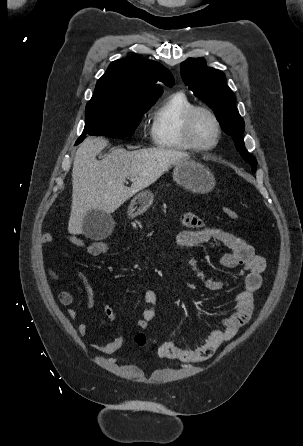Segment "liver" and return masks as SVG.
I'll return each instance as SVG.
<instances>
[{"label": "liver", "mask_w": 303, "mask_h": 446, "mask_svg": "<svg viewBox=\"0 0 303 446\" xmlns=\"http://www.w3.org/2000/svg\"><path fill=\"white\" fill-rule=\"evenodd\" d=\"M107 143L102 137L87 138L75 153L70 234L82 233L88 211L111 214L135 193L159 179L172 165L189 158L187 153L176 150L117 148L103 160H97L96 156ZM129 177L134 180L127 187L124 182Z\"/></svg>", "instance_id": "liver-1"}]
</instances>
